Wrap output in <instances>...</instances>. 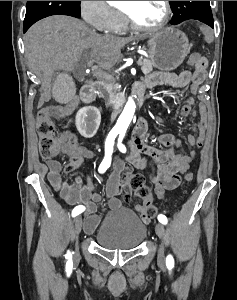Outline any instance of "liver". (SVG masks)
<instances>
[{
	"mask_svg": "<svg viewBox=\"0 0 237 300\" xmlns=\"http://www.w3.org/2000/svg\"><path fill=\"white\" fill-rule=\"evenodd\" d=\"M24 39L33 71L51 77L54 71H74L84 51H89L91 59L95 55L99 67L111 69L119 61L121 49L135 37H102L79 19L54 15L32 25ZM43 87H47L44 97L49 99L46 81Z\"/></svg>",
	"mask_w": 237,
	"mask_h": 300,
	"instance_id": "1",
	"label": "liver"
}]
</instances>
